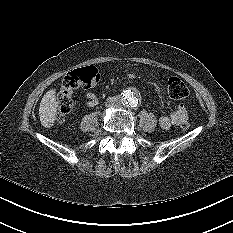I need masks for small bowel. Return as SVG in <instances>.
<instances>
[{"label": "small bowel", "instance_id": "obj_1", "mask_svg": "<svg viewBox=\"0 0 233 233\" xmlns=\"http://www.w3.org/2000/svg\"><path fill=\"white\" fill-rule=\"evenodd\" d=\"M83 98L86 100V104L89 107L97 103L96 96L91 92L84 93ZM187 119V109L184 105L180 104L169 115H164L159 118V126L162 129H169L172 126L180 125L182 121Z\"/></svg>", "mask_w": 233, "mask_h": 233}]
</instances>
